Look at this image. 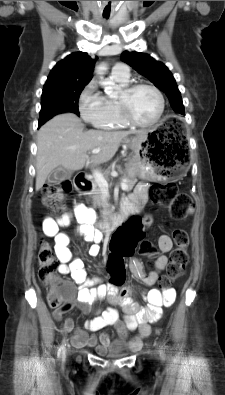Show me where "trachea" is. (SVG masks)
<instances>
[{
  "label": "trachea",
  "mask_w": 225,
  "mask_h": 395,
  "mask_svg": "<svg viewBox=\"0 0 225 395\" xmlns=\"http://www.w3.org/2000/svg\"><path fill=\"white\" fill-rule=\"evenodd\" d=\"M104 17H105V18H108V17H109V15H104Z\"/></svg>",
  "instance_id": "trachea-1"
}]
</instances>
